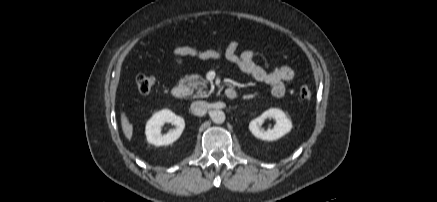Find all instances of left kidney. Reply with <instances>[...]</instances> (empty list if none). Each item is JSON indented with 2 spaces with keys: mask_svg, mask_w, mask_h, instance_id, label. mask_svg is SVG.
<instances>
[{
  "mask_svg": "<svg viewBox=\"0 0 437 202\" xmlns=\"http://www.w3.org/2000/svg\"><path fill=\"white\" fill-rule=\"evenodd\" d=\"M266 118H273L275 120V125L273 129L264 130L261 128L262 123ZM292 128V123L290 119L287 118L285 113L280 109L271 108L259 117L252 120L249 123V130L251 133L259 139L272 141L281 138L287 134Z\"/></svg>",
  "mask_w": 437,
  "mask_h": 202,
  "instance_id": "left-kidney-1",
  "label": "left kidney"
}]
</instances>
